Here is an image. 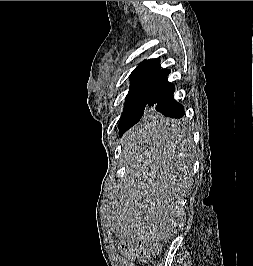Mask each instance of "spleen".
I'll return each instance as SVG.
<instances>
[{
	"instance_id": "3e777b00",
	"label": "spleen",
	"mask_w": 253,
	"mask_h": 266,
	"mask_svg": "<svg viewBox=\"0 0 253 266\" xmlns=\"http://www.w3.org/2000/svg\"><path fill=\"white\" fill-rule=\"evenodd\" d=\"M152 120H172V115H152ZM183 123H145L137 135H119L118 156H124L128 169L124 184L130 190H119L124 199L120 207H112L111 215L119 216L116 229H122L121 242H144L145 248H162L170 235L182 234L181 202L185 199V176L189 168L186 150L189 141H180Z\"/></svg>"
}]
</instances>
